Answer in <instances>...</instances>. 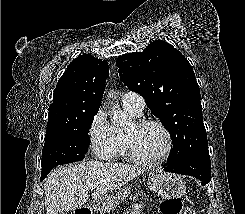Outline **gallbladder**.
<instances>
[{"label":"gallbladder","mask_w":245,"mask_h":214,"mask_svg":"<svg viewBox=\"0 0 245 214\" xmlns=\"http://www.w3.org/2000/svg\"><path fill=\"white\" fill-rule=\"evenodd\" d=\"M57 214H67V213H65V212H58Z\"/></svg>","instance_id":"1"}]
</instances>
